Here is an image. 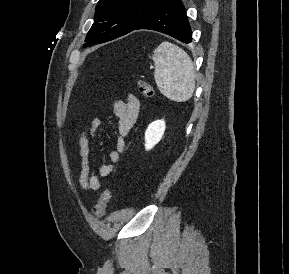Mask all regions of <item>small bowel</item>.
I'll use <instances>...</instances> for the list:
<instances>
[{
    "instance_id": "obj_1",
    "label": "small bowel",
    "mask_w": 289,
    "mask_h": 274,
    "mask_svg": "<svg viewBox=\"0 0 289 274\" xmlns=\"http://www.w3.org/2000/svg\"><path fill=\"white\" fill-rule=\"evenodd\" d=\"M113 112L117 118V139L115 149L109 154L112 164H101L99 166V174L102 177L110 176L114 173L115 164L121 160V155L126 150L125 139L131 128L135 124L139 112L140 102L133 94H128L125 100L116 99L113 101ZM101 121L97 117H93L87 128L81 131L79 137L81 172L79 176V184L84 190H99L101 182L97 175L92 172L90 166V140L94 137L100 127Z\"/></svg>"
}]
</instances>
